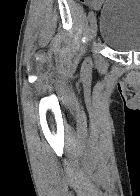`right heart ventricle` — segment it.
I'll use <instances>...</instances> for the list:
<instances>
[{
	"mask_svg": "<svg viewBox=\"0 0 140 196\" xmlns=\"http://www.w3.org/2000/svg\"><path fill=\"white\" fill-rule=\"evenodd\" d=\"M79 192H104V191H79ZM107 192H112V191H107Z\"/></svg>",
	"mask_w": 140,
	"mask_h": 196,
	"instance_id": "right-heart-ventricle-1",
	"label": "right heart ventricle"
}]
</instances>
